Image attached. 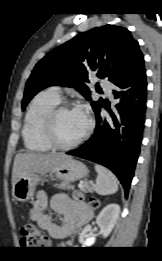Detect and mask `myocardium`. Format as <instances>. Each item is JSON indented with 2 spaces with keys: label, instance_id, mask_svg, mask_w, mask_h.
<instances>
[{
  "label": "myocardium",
  "instance_id": "obj_1",
  "mask_svg": "<svg viewBox=\"0 0 162 261\" xmlns=\"http://www.w3.org/2000/svg\"><path fill=\"white\" fill-rule=\"evenodd\" d=\"M67 110H72V105L67 102H60L51 108L44 117L43 120V133L52 148L58 150H70L80 145L88 136L90 131V123L86 127L83 134L71 143H62L58 140L55 131V123L58 115Z\"/></svg>",
  "mask_w": 162,
  "mask_h": 261
}]
</instances>
